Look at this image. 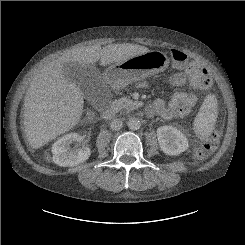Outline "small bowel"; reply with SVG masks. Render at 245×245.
I'll return each instance as SVG.
<instances>
[{"label": "small bowel", "instance_id": "obj_1", "mask_svg": "<svg viewBox=\"0 0 245 245\" xmlns=\"http://www.w3.org/2000/svg\"><path fill=\"white\" fill-rule=\"evenodd\" d=\"M204 73H208L207 70L195 62L190 63L183 71L174 73L170 78L174 87L182 88L189 84L193 91L189 93L178 90L172 95L168 103L162 98H157L148 106L147 114L149 116L158 115L166 120L186 116L199 100L198 91L202 88L197 82V77Z\"/></svg>", "mask_w": 245, "mask_h": 245}]
</instances>
